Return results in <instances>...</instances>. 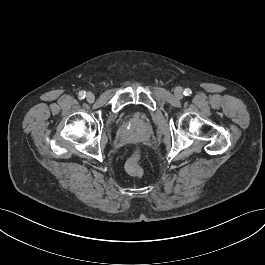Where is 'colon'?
Here are the masks:
<instances>
[{
  "label": "colon",
  "instance_id": "obj_1",
  "mask_svg": "<svg viewBox=\"0 0 265 265\" xmlns=\"http://www.w3.org/2000/svg\"><path fill=\"white\" fill-rule=\"evenodd\" d=\"M125 170L128 174L134 177H141L144 174V166L141 160V153L139 150L133 152L125 163Z\"/></svg>",
  "mask_w": 265,
  "mask_h": 265
}]
</instances>
